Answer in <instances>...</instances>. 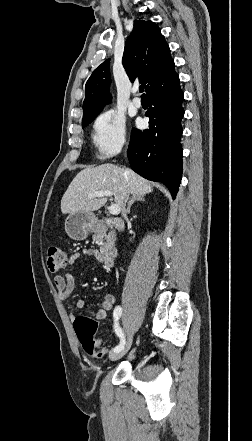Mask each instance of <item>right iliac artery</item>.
<instances>
[{"mask_svg": "<svg viewBox=\"0 0 252 441\" xmlns=\"http://www.w3.org/2000/svg\"><path fill=\"white\" fill-rule=\"evenodd\" d=\"M121 314H122V308L120 306L115 307L114 312H113L114 330H115L117 336L120 338V343L118 346H116L113 349L114 352H118V351L122 350L125 345L124 333H123L122 328L120 327L119 322H118Z\"/></svg>", "mask_w": 252, "mask_h": 441, "instance_id": "1", "label": "right iliac artery"}]
</instances>
